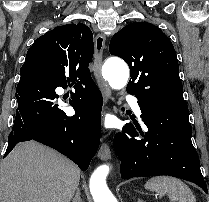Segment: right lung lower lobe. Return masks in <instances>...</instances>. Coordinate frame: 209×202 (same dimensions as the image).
Masks as SVG:
<instances>
[{"label":"right lung lower lobe","mask_w":209,"mask_h":202,"mask_svg":"<svg viewBox=\"0 0 209 202\" xmlns=\"http://www.w3.org/2000/svg\"><path fill=\"white\" fill-rule=\"evenodd\" d=\"M58 86L67 88L51 77L20 78L18 108L4 157L18 142L36 140L67 156L82 171L87 170L99 147L102 95L95 83L75 87L68 102L76 114L69 117L57 102Z\"/></svg>","instance_id":"obj_1"}]
</instances>
